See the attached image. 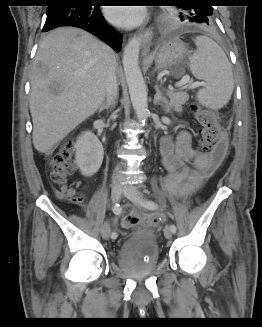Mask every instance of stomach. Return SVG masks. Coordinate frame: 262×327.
Returning <instances> with one entry per match:
<instances>
[{
    "mask_svg": "<svg viewBox=\"0 0 262 327\" xmlns=\"http://www.w3.org/2000/svg\"><path fill=\"white\" fill-rule=\"evenodd\" d=\"M188 51L180 41L164 43L154 57L156 68L159 71L172 70L179 74L178 68L184 62Z\"/></svg>",
    "mask_w": 262,
    "mask_h": 327,
    "instance_id": "stomach-1",
    "label": "stomach"
}]
</instances>
